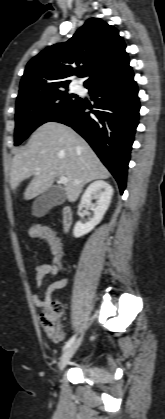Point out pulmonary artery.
Returning <instances> with one entry per match:
<instances>
[{
	"mask_svg": "<svg viewBox=\"0 0 165 419\" xmlns=\"http://www.w3.org/2000/svg\"><path fill=\"white\" fill-rule=\"evenodd\" d=\"M76 91H79V87H76Z\"/></svg>",
	"mask_w": 165,
	"mask_h": 419,
	"instance_id": "pulmonary-artery-1",
	"label": "pulmonary artery"
}]
</instances>
